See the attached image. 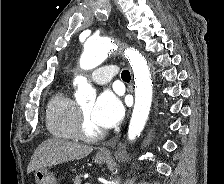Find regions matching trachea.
<instances>
[{"mask_svg":"<svg viewBox=\"0 0 224 184\" xmlns=\"http://www.w3.org/2000/svg\"><path fill=\"white\" fill-rule=\"evenodd\" d=\"M121 78L124 81H130L131 79L130 72L128 70H123L121 74Z\"/></svg>","mask_w":224,"mask_h":184,"instance_id":"obj_1","label":"trachea"}]
</instances>
